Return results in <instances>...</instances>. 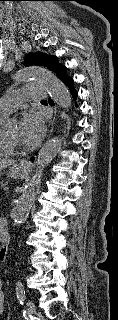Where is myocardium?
<instances>
[{
    "label": "myocardium",
    "mask_w": 118,
    "mask_h": 320,
    "mask_svg": "<svg viewBox=\"0 0 118 320\" xmlns=\"http://www.w3.org/2000/svg\"><path fill=\"white\" fill-rule=\"evenodd\" d=\"M3 140L13 149H20L22 146L19 144L18 141L12 140L11 138L7 137L2 131H1Z\"/></svg>",
    "instance_id": "f54148a6"
}]
</instances>
